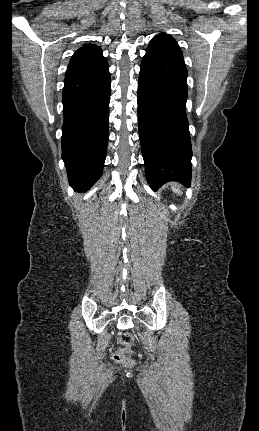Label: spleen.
<instances>
[{
    "instance_id": "obj_1",
    "label": "spleen",
    "mask_w": 259,
    "mask_h": 431,
    "mask_svg": "<svg viewBox=\"0 0 259 431\" xmlns=\"http://www.w3.org/2000/svg\"><path fill=\"white\" fill-rule=\"evenodd\" d=\"M171 188H172V190H173L174 193H176L178 195L182 194V192L180 190V187H179V185L177 183L171 184Z\"/></svg>"
}]
</instances>
